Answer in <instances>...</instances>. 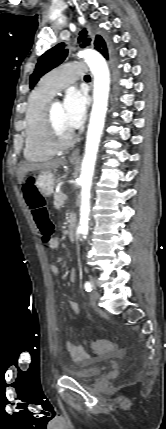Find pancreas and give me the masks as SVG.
Masks as SVG:
<instances>
[{
  "label": "pancreas",
  "mask_w": 166,
  "mask_h": 429,
  "mask_svg": "<svg viewBox=\"0 0 166 429\" xmlns=\"http://www.w3.org/2000/svg\"><path fill=\"white\" fill-rule=\"evenodd\" d=\"M63 196H64L63 192H59L58 194L54 195V207L56 209H60L63 206L64 204Z\"/></svg>",
  "instance_id": "cf45deb5"
}]
</instances>
